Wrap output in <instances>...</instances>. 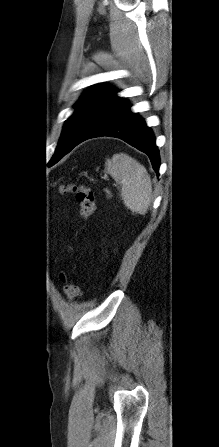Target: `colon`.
I'll list each match as a JSON object with an SVG mask.
<instances>
[{
  "instance_id": "1",
  "label": "colon",
  "mask_w": 219,
  "mask_h": 447,
  "mask_svg": "<svg viewBox=\"0 0 219 447\" xmlns=\"http://www.w3.org/2000/svg\"><path fill=\"white\" fill-rule=\"evenodd\" d=\"M60 192L74 194L79 205V213L82 220H87L92 216L95 210V196L89 186L72 183L62 186ZM62 280L67 299L73 300L78 297L80 291L77 284L68 275H63Z\"/></svg>"
}]
</instances>
